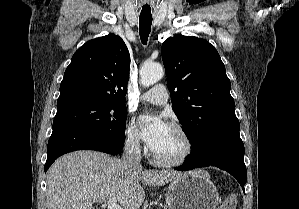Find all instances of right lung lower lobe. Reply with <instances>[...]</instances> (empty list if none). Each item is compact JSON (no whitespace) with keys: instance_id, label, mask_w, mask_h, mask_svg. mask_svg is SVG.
I'll return each mask as SVG.
<instances>
[{"instance_id":"98d812e1","label":"right lung lower lobe","mask_w":299,"mask_h":209,"mask_svg":"<svg viewBox=\"0 0 299 209\" xmlns=\"http://www.w3.org/2000/svg\"><path fill=\"white\" fill-rule=\"evenodd\" d=\"M124 141L125 133L109 134L64 121L53 123L44 169L47 171L59 156L75 150H96L116 155L121 151Z\"/></svg>"}]
</instances>
